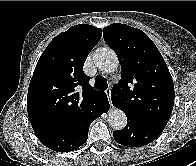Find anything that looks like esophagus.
Here are the masks:
<instances>
[{
	"mask_svg": "<svg viewBox=\"0 0 196 166\" xmlns=\"http://www.w3.org/2000/svg\"><path fill=\"white\" fill-rule=\"evenodd\" d=\"M105 92H106V94H107V96H108L110 106H112L111 89L109 88V89H107Z\"/></svg>",
	"mask_w": 196,
	"mask_h": 166,
	"instance_id": "esophagus-1",
	"label": "esophagus"
}]
</instances>
